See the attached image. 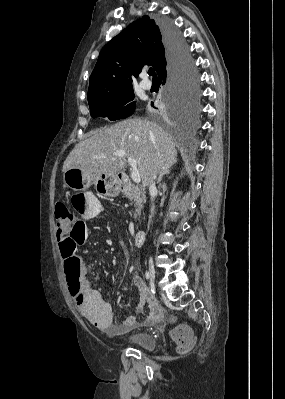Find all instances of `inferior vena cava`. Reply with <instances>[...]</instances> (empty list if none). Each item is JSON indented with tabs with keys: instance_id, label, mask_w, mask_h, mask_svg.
Masks as SVG:
<instances>
[{
	"instance_id": "obj_1",
	"label": "inferior vena cava",
	"mask_w": 285,
	"mask_h": 399,
	"mask_svg": "<svg viewBox=\"0 0 285 399\" xmlns=\"http://www.w3.org/2000/svg\"><path fill=\"white\" fill-rule=\"evenodd\" d=\"M157 192L156 186H155V182L154 180L150 183L149 185V193L151 196V201H152V206H151V215L150 218H152L154 216V212H155V205H154V198H155V194Z\"/></svg>"
}]
</instances>
